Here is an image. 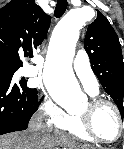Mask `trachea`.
<instances>
[{"label": "trachea", "instance_id": "trachea-1", "mask_svg": "<svg viewBox=\"0 0 124 149\" xmlns=\"http://www.w3.org/2000/svg\"><path fill=\"white\" fill-rule=\"evenodd\" d=\"M67 6V0H58L54 12L55 17L60 18L65 13Z\"/></svg>", "mask_w": 124, "mask_h": 149}]
</instances>
